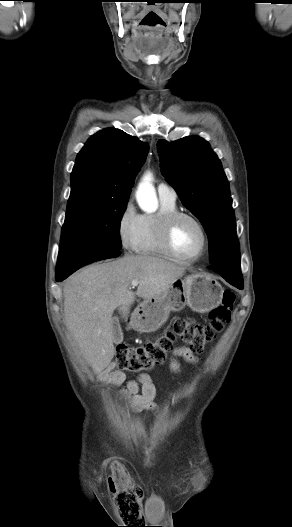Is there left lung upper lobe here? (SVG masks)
Segmentation results:
<instances>
[{
	"mask_svg": "<svg viewBox=\"0 0 292 527\" xmlns=\"http://www.w3.org/2000/svg\"><path fill=\"white\" fill-rule=\"evenodd\" d=\"M157 148L163 176L205 227L213 266L240 264L229 183L217 155L198 136L159 140Z\"/></svg>",
	"mask_w": 292,
	"mask_h": 527,
	"instance_id": "left-lung-upper-lobe-1",
	"label": "left lung upper lobe"
}]
</instances>
